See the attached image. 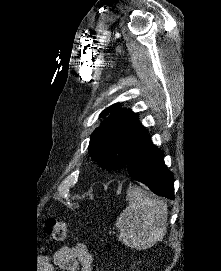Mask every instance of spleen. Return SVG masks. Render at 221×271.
I'll return each instance as SVG.
<instances>
[{
    "mask_svg": "<svg viewBox=\"0 0 221 271\" xmlns=\"http://www.w3.org/2000/svg\"><path fill=\"white\" fill-rule=\"evenodd\" d=\"M127 199L128 205L115 223L120 229V241L134 249H148L162 241L167 229L165 201L152 197L140 187H134Z\"/></svg>",
    "mask_w": 221,
    "mask_h": 271,
    "instance_id": "spleen-1",
    "label": "spleen"
}]
</instances>
